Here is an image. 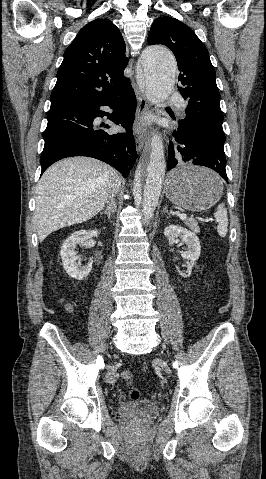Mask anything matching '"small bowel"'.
Segmentation results:
<instances>
[{
  "label": "small bowel",
  "instance_id": "obj_1",
  "mask_svg": "<svg viewBox=\"0 0 266 479\" xmlns=\"http://www.w3.org/2000/svg\"><path fill=\"white\" fill-rule=\"evenodd\" d=\"M67 308H71V306H70V305H67Z\"/></svg>",
  "mask_w": 266,
  "mask_h": 479
}]
</instances>
